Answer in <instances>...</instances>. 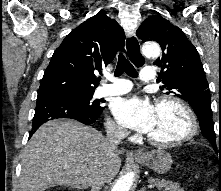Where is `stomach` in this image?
Instances as JSON below:
<instances>
[{"mask_svg": "<svg viewBox=\"0 0 221 191\" xmlns=\"http://www.w3.org/2000/svg\"><path fill=\"white\" fill-rule=\"evenodd\" d=\"M135 161L158 174L168 172L173 163L171 155L161 148L147 152L141 157H136Z\"/></svg>", "mask_w": 221, "mask_h": 191, "instance_id": "obj_1", "label": "stomach"}]
</instances>
